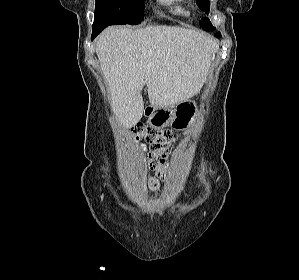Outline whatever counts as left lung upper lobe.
Returning <instances> with one entry per match:
<instances>
[{
  "label": "left lung upper lobe",
  "mask_w": 299,
  "mask_h": 280,
  "mask_svg": "<svg viewBox=\"0 0 299 280\" xmlns=\"http://www.w3.org/2000/svg\"><path fill=\"white\" fill-rule=\"evenodd\" d=\"M198 1V5L199 7L204 10V11H209V1L208 0H197ZM200 26L206 30V31H213L214 27L212 26V23L210 22V20L208 18H203L200 22H199ZM217 37H220L221 34L220 32L214 34Z\"/></svg>",
  "instance_id": "left-lung-upper-lobe-1"
}]
</instances>
